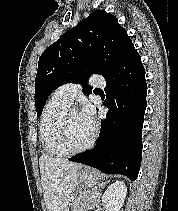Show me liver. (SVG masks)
<instances>
[{"label":"liver","mask_w":178,"mask_h":211,"mask_svg":"<svg viewBox=\"0 0 178 211\" xmlns=\"http://www.w3.org/2000/svg\"><path fill=\"white\" fill-rule=\"evenodd\" d=\"M41 183L47 211H68L72 193L78 185L80 164L42 155L39 158Z\"/></svg>","instance_id":"6515ba94"}]
</instances>
